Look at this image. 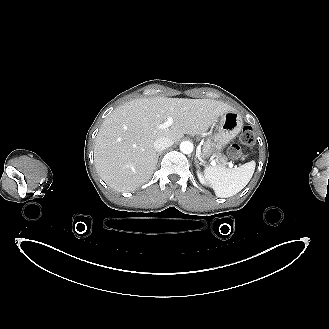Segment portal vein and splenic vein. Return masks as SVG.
I'll use <instances>...</instances> for the list:
<instances>
[{
	"mask_svg": "<svg viewBox=\"0 0 329 329\" xmlns=\"http://www.w3.org/2000/svg\"><path fill=\"white\" fill-rule=\"evenodd\" d=\"M173 123H174L173 118L169 116L164 123L157 125V128L166 129V128L170 127ZM227 164H228L229 168L233 167V164L231 162H228Z\"/></svg>",
	"mask_w": 329,
	"mask_h": 329,
	"instance_id": "1",
	"label": "portal vein and splenic vein"
}]
</instances>
